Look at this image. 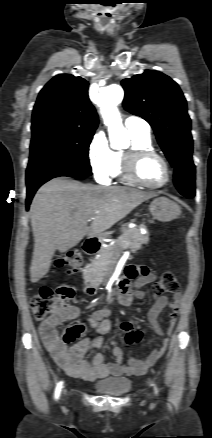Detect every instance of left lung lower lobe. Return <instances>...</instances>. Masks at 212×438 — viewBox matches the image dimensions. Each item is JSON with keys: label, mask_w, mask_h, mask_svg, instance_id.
Listing matches in <instances>:
<instances>
[{"label": "left lung lower lobe", "mask_w": 212, "mask_h": 438, "mask_svg": "<svg viewBox=\"0 0 212 438\" xmlns=\"http://www.w3.org/2000/svg\"><path fill=\"white\" fill-rule=\"evenodd\" d=\"M174 184L185 197L195 196V165L192 156L182 158L174 167Z\"/></svg>", "instance_id": "left-lung-lower-lobe-1"}]
</instances>
